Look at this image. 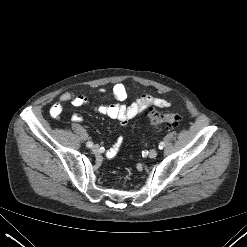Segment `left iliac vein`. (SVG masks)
<instances>
[{"label":"left iliac vein","mask_w":247,"mask_h":247,"mask_svg":"<svg viewBox=\"0 0 247 247\" xmlns=\"http://www.w3.org/2000/svg\"><path fill=\"white\" fill-rule=\"evenodd\" d=\"M157 156V151L155 149L150 150L149 157L155 158Z\"/></svg>","instance_id":"1"}]
</instances>
